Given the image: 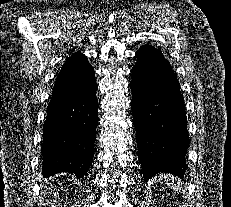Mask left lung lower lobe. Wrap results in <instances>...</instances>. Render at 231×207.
<instances>
[{
    "label": "left lung lower lobe",
    "instance_id": "1",
    "mask_svg": "<svg viewBox=\"0 0 231 207\" xmlns=\"http://www.w3.org/2000/svg\"><path fill=\"white\" fill-rule=\"evenodd\" d=\"M132 69V108L145 181L158 173L183 178L189 146L184 98L162 51L143 45Z\"/></svg>",
    "mask_w": 231,
    "mask_h": 207
}]
</instances>
